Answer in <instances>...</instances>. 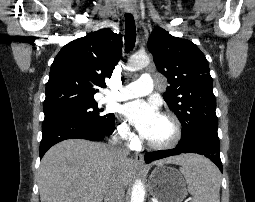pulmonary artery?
Segmentation results:
<instances>
[{
	"instance_id": "pulmonary-artery-1",
	"label": "pulmonary artery",
	"mask_w": 255,
	"mask_h": 202,
	"mask_svg": "<svg viewBox=\"0 0 255 202\" xmlns=\"http://www.w3.org/2000/svg\"><path fill=\"white\" fill-rule=\"evenodd\" d=\"M153 79L150 74L144 73L140 78L120 88L119 91L110 92L104 101H124L140 96H144L152 92Z\"/></svg>"
}]
</instances>
